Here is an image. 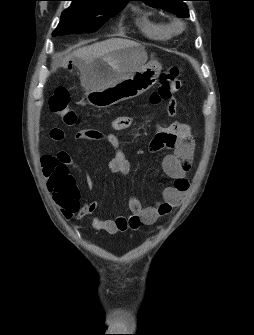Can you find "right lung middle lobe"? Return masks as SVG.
Wrapping results in <instances>:
<instances>
[{
	"instance_id": "right-lung-middle-lobe-1",
	"label": "right lung middle lobe",
	"mask_w": 254,
	"mask_h": 335,
	"mask_svg": "<svg viewBox=\"0 0 254 335\" xmlns=\"http://www.w3.org/2000/svg\"><path fill=\"white\" fill-rule=\"evenodd\" d=\"M71 1H73L71 7L62 12L60 23L53 36L95 31L126 5Z\"/></svg>"
}]
</instances>
